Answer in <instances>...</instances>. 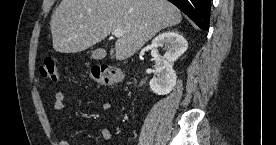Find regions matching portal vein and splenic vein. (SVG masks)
Instances as JSON below:
<instances>
[{"instance_id": "portal-vein-and-splenic-vein-1", "label": "portal vein and splenic vein", "mask_w": 276, "mask_h": 145, "mask_svg": "<svg viewBox=\"0 0 276 145\" xmlns=\"http://www.w3.org/2000/svg\"><path fill=\"white\" fill-rule=\"evenodd\" d=\"M112 34L116 37H122L124 34V31L120 28L115 29Z\"/></svg>"}]
</instances>
